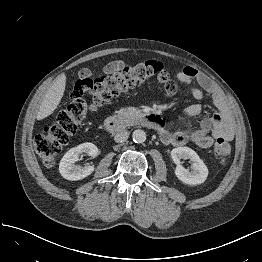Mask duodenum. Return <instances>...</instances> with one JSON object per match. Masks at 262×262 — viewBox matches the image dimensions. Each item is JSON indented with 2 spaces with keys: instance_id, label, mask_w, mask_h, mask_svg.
Masks as SVG:
<instances>
[{
  "instance_id": "410a0bca",
  "label": "duodenum",
  "mask_w": 262,
  "mask_h": 262,
  "mask_svg": "<svg viewBox=\"0 0 262 262\" xmlns=\"http://www.w3.org/2000/svg\"><path fill=\"white\" fill-rule=\"evenodd\" d=\"M157 122L155 119H145L141 122L144 127L147 128H155L157 126ZM132 123L124 117H108L104 121V129L110 133H115L117 131H121Z\"/></svg>"
}]
</instances>
